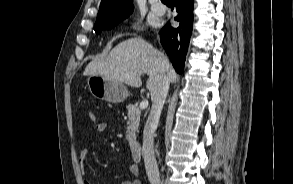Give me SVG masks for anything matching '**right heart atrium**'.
I'll return each instance as SVG.
<instances>
[{
    "instance_id": "obj_1",
    "label": "right heart atrium",
    "mask_w": 293,
    "mask_h": 184,
    "mask_svg": "<svg viewBox=\"0 0 293 184\" xmlns=\"http://www.w3.org/2000/svg\"><path fill=\"white\" fill-rule=\"evenodd\" d=\"M126 29L129 32H134L136 30H138V24L136 22H130L128 23V25L126 26Z\"/></svg>"
}]
</instances>
